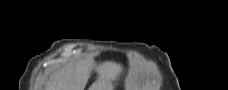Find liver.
I'll list each match as a JSON object with an SVG mask.
<instances>
[{"mask_svg":"<svg viewBox=\"0 0 228 90\" xmlns=\"http://www.w3.org/2000/svg\"><path fill=\"white\" fill-rule=\"evenodd\" d=\"M93 69L96 70L98 79L89 90L112 88L111 80L115 79L122 70L120 65L113 62L96 65L93 62L77 61L52 76L46 90H84Z\"/></svg>","mask_w":228,"mask_h":90,"instance_id":"liver-1","label":"liver"}]
</instances>
